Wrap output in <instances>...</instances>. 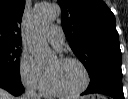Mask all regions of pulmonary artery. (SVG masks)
<instances>
[{
    "instance_id": "obj_1",
    "label": "pulmonary artery",
    "mask_w": 128,
    "mask_h": 99,
    "mask_svg": "<svg viewBox=\"0 0 128 99\" xmlns=\"http://www.w3.org/2000/svg\"><path fill=\"white\" fill-rule=\"evenodd\" d=\"M46 36L49 43L57 49L63 45L65 40L61 27L57 25L50 27L47 30Z\"/></svg>"
}]
</instances>
